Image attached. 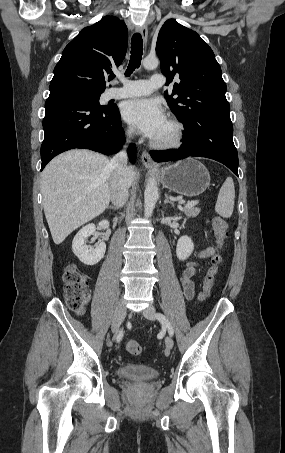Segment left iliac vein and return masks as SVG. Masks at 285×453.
I'll use <instances>...</instances> for the list:
<instances>
[{
    "label": "left iliac vein",
    "instance_id": "1",
    "mask_svg": "<svg viewBox=\"0 0 285 453\" xmlns=\"http://www.w3.org/2000/svg\"><path fill=\"white\" fill-rule=\"evenodd\" d=\"M143 316L149 320L155 319V308L154 306L150 305L143 311ZM165 345L168 349H172L174 342L171 336H167L165 338Z\"/></svg>",
    "mask_w": 285,
    "mask_h": 453
}]
</instances>
